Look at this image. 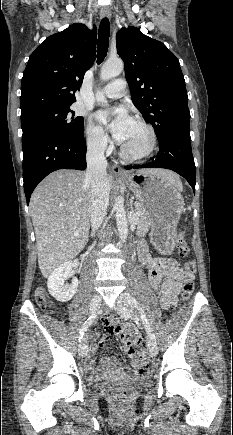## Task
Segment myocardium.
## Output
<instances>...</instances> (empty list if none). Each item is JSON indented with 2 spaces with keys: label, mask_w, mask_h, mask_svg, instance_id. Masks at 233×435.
<instances>
[{
  "label": "myocardium",
  "mask_w": 233,
  "mask_h": 435,
  "mask_svg": "<svg viewBox=\"0 0 233 435\" xmlns=\"http://www.w3.org/2000/svg\"><path fill=\"white\" fill-rule=\"evenodd\" d=\"M133 121L142 125L147 130L149 137H150V142H149V145L146 148V150L140 154H130L122 146H120L119 151H120L121 157L123 159H125L127 161H131V162L142 161V160L149 158L154 153V151L156 149V145H157V135H156V132H155L154 128L152 127V125L140 117L133 118Z\"/></svg>",
  "instance_id": "f54148a6"
}]
</instances>
